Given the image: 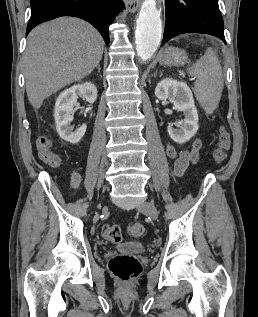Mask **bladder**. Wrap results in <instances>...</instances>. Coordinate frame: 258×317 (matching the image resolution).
I'll list each match as a JSON object with an SVG mask.
<instances>
[{
  "instance_id": "1",
  "label": "bladder",
  "mask_w": 258,
  "mask_h": 317,
  "mask_svg": "<svg viewBox=\"0 0 258 317\" xmlns=\"http://www.w3.org/2000/svg\"><path fill=\"white\" fill-rule=\"evenodd\" d=\"M117 250L122 255L136 256L145 251L143 244L138 242L122 243L117 246Z\"/></svg>"
}]
</instances>
